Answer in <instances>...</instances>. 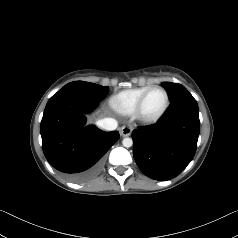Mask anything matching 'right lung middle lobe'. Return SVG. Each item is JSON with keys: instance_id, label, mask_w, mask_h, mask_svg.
Here are the masks:
<instances>
[{"instance_id": "obj_1", "label": "right lung middle lobe", "mask_w": 238, "mask_h": 238, "mask_svg": "<svg viewBox=\"0 0 238 238\" xmlns=\"http://www.w3.org/2000/svg\"><path fill=\"white\" fill-rule=\"evenodd\" d=\"M77 89L80 92L96 99H104L108 94V87L101 86L98 84L84 82V81H74L66 84L61 90L64 89Z\"/></svg>"}]
</instances>
